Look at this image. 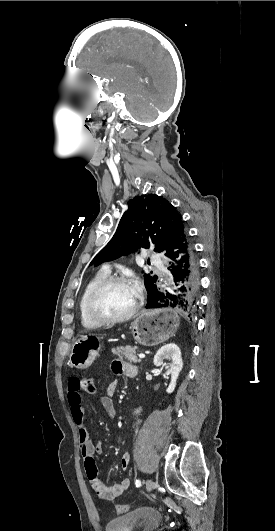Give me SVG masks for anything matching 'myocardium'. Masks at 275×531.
Wrapping results in <instances>:
<instances>
[{
	"label": "myocardium",
	"instance_id": "myocardium-1",
	"mask_svg": "<svg viewBox=\"0 0 275 531\" xmlns=\"http://www.w3.org/2000/svg\"><path fill=\"white\" fill-rule=\"evenodd\" d=\"M118 282H130V281L128 277L125 275H108L104 277L102 280H100L91 289V291L86 297L85 304H84V311H85V315L87 316V318H89L91 321L99 325H105V324L121 323L133 317V315L136 313L137 309L139 308L141 297H142L141 291L138 288H135L136 299L134 301L133 306L126 314L122 316L107 317V316H103L97 313L94 309V301L97 298V296L101 293V291L104 290L107 286L114 284V283H118Z\"/></svg>",
	"mask_w": 275,
	"mask_h": 531
}]
</instances>
